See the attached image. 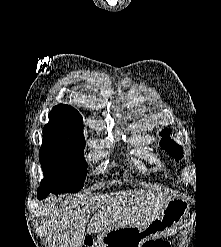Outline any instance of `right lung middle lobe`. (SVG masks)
<instances>
[{"instance_id":"dd1d6c3e","label":"right lung middle lobe","mask_w":221,"mask_h":247,"mask_svg":"<svg viewBox=\"0 0 221 247\" xmlns=\"http://www.w3.org/2000/svg\"><path fill=\"white\" fill-rule=\"evenodd\" d=\"M84 146V137L43 131L40 162L44 179L39 189L53 194L81 190L88 167L83 154Z\"/></svg>"}]
</instances>
